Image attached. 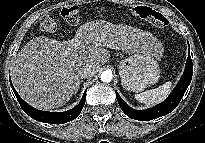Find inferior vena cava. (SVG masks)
I'll return each instance as SVG.
<instances>
[{
  "label": "inferior vena cava",
  "mask_w": 205,
  "mask_h": 143,
  "mask_svg": "<svg viewBox=\"0 0 205 143\" xmlns=\"http://www.w3.org/2000/svg\"><path fill=\"white\" fill-rule=\"evenodd\" d=\"M97 73V68L92 65H86L80 72L81 78H91Z\"/></svg>",
  "instance_id": "obj_1"
}]
</instances>
